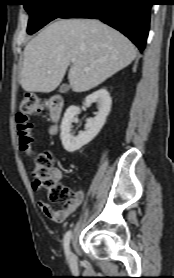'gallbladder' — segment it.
Listing matches in <instances>:
<instances>
[{"label": "gallbladder", "instance_id": "gallbladder-1", "mask_svg": "<svg viewBox=\"0 0 174 278\" xmlns=\"http://www.w3.org/2000/svg\"><path fill=\"white\" fill-rule=\"evenodd\" d=\"M69 90V86L67 84H63L60 86L59 92L66 93Z\"/></svg>", "mask_w": 174, "mask_h": 278}]
</instances>
